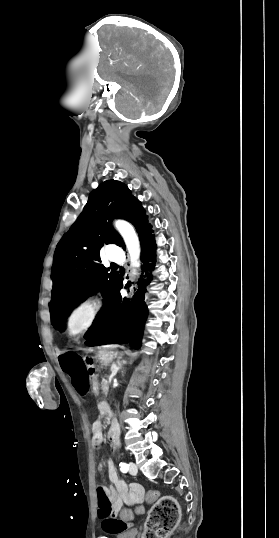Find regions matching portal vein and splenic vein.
Here are the masks:
<instances>
[{"instance_id":"portal-vein-and-splenic-vein-1","label":"portal vein and splenic vein","mask_w":279,"mask_h":538,"mask_svg":"<svg viewBox=\"0 0 279 538\" xmlns=\"http://www.w3.org/2000/svg\"><path fill=\"white\" fill-rule=\"evenodd\" d=\"M105 383H109V380H105Z\"/></svg>"}]
</instances>
